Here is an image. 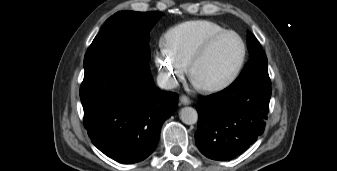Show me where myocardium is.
I'll use <instances>...</instances> for the list:
<instances>
[{
	"instance_id": "obj_1",
	"label": "myocardium",
	"mask_w": 337,
	"mask_h": 171,
	"mask_svg": "<svg viewBox=\"0 0 337 171\" xmlns=\"http://www.w3.org/2000/svg\"><path fill=\"white\" fill-rule=\"evenodd\" d=\"M226 36H235L240 44H241V48H242V52H241V56L240 59L238 61V63L236 64V66L234 67V69L231 71V73L222 81L218 82V83H214V84H209V85H199L201 87V89L208 91V92H216V91H220L223 90L227 87H229L239 76L246 57H247V45L244 41V39L242 38V36L240 34H238L237 32L233 31V30H225L221 33H218L212 37H210L209 39H207L204 43H202L200 45V47L196 50V52L194 53V55L192 56L189 64H188V70H189V75L191 77V79L194 80V70L195 67L197 66V64L200 62V60L208 53V51L211 49V47L220 39L226 37Z\"/></svg>"
}]
</instances>
